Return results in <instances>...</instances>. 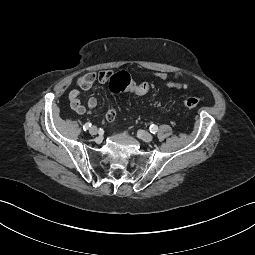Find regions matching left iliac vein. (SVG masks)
<instances>
[{"label": "left iliac vein", "mask_w": 255, "mask_h": 255, "mask_svg": "<svg viewBox=\"0 0 255 255\" xmlns=\"http://www.w3.org/2000/svg\"><path fill=\"white\" fill-rule=\"evenodd\" d=\"M138 137L144 142H151L153 140V136L150 133L143 130L138 131Z\"/></svg>", "instance_id": "obj_1"}]
</instances>
